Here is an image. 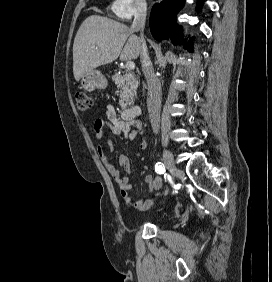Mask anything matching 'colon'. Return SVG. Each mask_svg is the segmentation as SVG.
<instances>
[{"label":"colon","instance_id":"obj_1","mask_svg":"<svg viewBox=\"0 0 272 282\" xmlns=\"http://www.w3.org/2000/svg\"><path fill=\"white\" fill-rule=\"evenodd\" d=\"M77 107L80 110H89L93 106V100L89 94L85 92H78L76 94Z\"/></svg>","mask_w":272,"mask_h":282}]
</instances>
